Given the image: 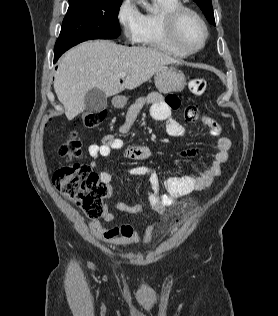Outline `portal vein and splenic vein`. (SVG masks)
<instances>
[{
	"label": "portal vein and splenic vein",
	"instance_id": "1",
	"mask_svg": "<svg viewBox=\"0 0 278 316\" xmlns=\"http://www.w3.org/2000/svg\"><path fill=\"white\" fill-rule=\"evenodd\" d=\"M125 76H126V73H124V72H121L118 74V77L122 78V79L125 78Z\"/></svg>",
	"mask_w": 278,
	"mask_h": 316
}]
</instances>
